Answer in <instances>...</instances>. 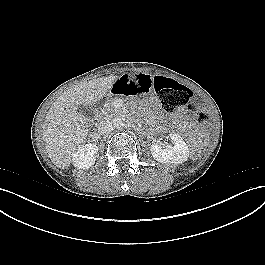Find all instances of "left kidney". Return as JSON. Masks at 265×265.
<instances>
[{
    "mask_svg": "<svg viewBox=\"0 0 265 265\" xmlns=\"http://www.w3.org/2000/svg\"><path fill=\"white\" fill-rule=\"evenodd\" d=\"M172 145L154 143L150 147L153 158L160 163L181 164L189 157V148L182 137L176 133H170Z\"/></svg>",
    "mask_w": 265,
    "mask_h": 265,
    "instance_id": "5707ae66",
    "label": "left kidney"
}]
</instances>
